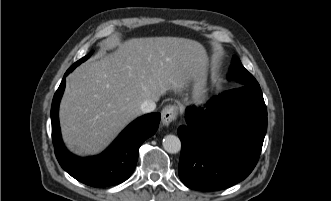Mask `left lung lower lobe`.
Masks as SVG:
<instances>
[{
    "instance_id": "obj_1",
    "label": "left lung lower lobe",
    "mask_w": 331,
    "mask_h": 201,
    "mask_svg": "<svg viewBox=\"0 0 331 201\" xmlns=\"http://www.w3.org/2000/svg\"><path fill=\"white\" fill-rule=\"evenodd\" d=\"M241 105L236 116L233 108ZM178 128L182 143L178 174L194 190L215 191L244 180L254 169L267 130V110L259 84L214 96L206 108L188 107Z\"/></svg>"
}]
</instances>
